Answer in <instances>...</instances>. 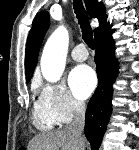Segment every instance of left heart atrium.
Returning <instances> with one entry per match:
<instances>
[{
	"label": "left heart atrium",
	"mask_w": 139,
	"mask_h": 150,
	"mask_svg": "<svg viewBox=\"0 0 139 150\" xmlns=\"http://www.w3.org/2000/svg\"><path fill=\"white\" fill-rule=\"evenodd\" d=\"M96 83L94 71L85 65L74 68L69 76L72 93L80 100H85L92 94Z\"/></svg>",
	"instance_id": "39dd6f15"
}]
</instances>
